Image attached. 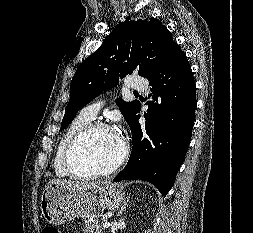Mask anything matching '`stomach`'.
Listing matches in <instances>:
<instances>
[{"mask_svg":"<svg viewBox=\"0 0 253 233\" xmlns=\"http://www.w3.org/2000/svg\"><path fill=\"white\" fill-rule=\"evenodd\" d=\"M123 201L124 194L111 183L83 190L52 184L43 190L40 209L46 222L60 225L75 218L101 216L106 209H117Z\"/></svg>","mask_w":253,"mask_h":233,"instance_id":"0dacf381","label":"stomach"}]
</instances>
